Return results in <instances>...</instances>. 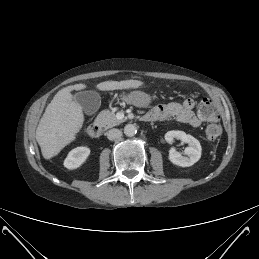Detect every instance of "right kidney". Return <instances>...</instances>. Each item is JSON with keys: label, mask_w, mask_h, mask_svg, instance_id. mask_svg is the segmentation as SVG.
<instances>
[{"label": "right kidney", "mask_w": 259, "mask_h": 259, "mask_svg": "<svg viewBox=\"0 0 259 259\" xmlns=\"http://www.w3.org/2000/svg\"><path fill=\"white\" fill-rule=\"evenodd\" d=\"M90 155L88 147L80 146L72 149L64 160V166L73 170L80 167Z\"/></svg>", "instance_id": "right-kidney-1"}]
</instances>
